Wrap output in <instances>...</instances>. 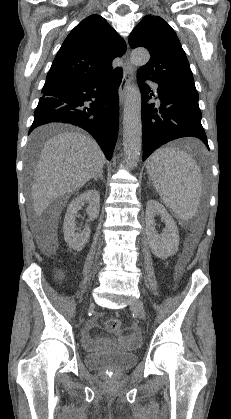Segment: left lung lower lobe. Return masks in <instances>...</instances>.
Wrapping results in <instances>:
<instances>
[{
  "label": "left lung lower lobe",
  "instance_id": "left-lung-lower-lobe-1",
  "mask_svg": "<svg viewBox=\"0 0 231 419\" xmlns=\"http://www.w3.org/2000/svg\"><path fill=\"white\" fill-rule=\"evenodd\" d=\"M142 94V141L143 160L161 145L181 137H197L209 149L201 124L198 92L168 85H159L160 107L147 103L153 93L145 79H153L137 73Z\"/></svg>",
  "mask_w": 231,
  "mask_h": 419
}]
</instances>
